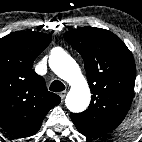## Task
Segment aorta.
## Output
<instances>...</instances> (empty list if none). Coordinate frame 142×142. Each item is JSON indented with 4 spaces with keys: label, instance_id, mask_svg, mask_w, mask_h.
<instances>
[{
    "label": "aorta",
    "instance_id": "aorta-1",
    "mask_svg": "<svg viewBox=\"0 0 142 142\" xmlns=\"http://www.w3.org/2000/svg\"><path fill=\"white\" fill-rule=\"evenodd\" d=\"M49 66L71 86L65 101L67 108L75 113L84 111L90 103L91 92L76 61L63 49L55 48L50 54Z\"/></svg>",
    "mask_w": 142,
    "mask_h": 142
}]
</instances>
